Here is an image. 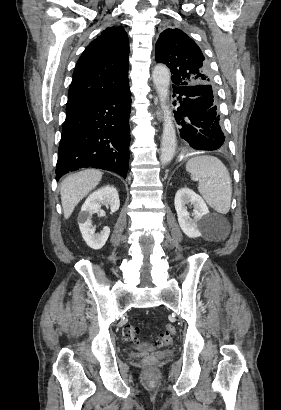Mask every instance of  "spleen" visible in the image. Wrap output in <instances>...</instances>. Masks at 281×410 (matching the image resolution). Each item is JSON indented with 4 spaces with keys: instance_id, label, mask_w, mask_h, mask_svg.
I'll use <instances>...</instances> for the list:
<instances>
[{
    "instance_id": "spleen-1",
    "label": "spleen",
    "mask_w": 281,
    "mask_h": 410,
    "mask_svg": "<svg viewBox=\"0 0 281 410\" xmlns=\"http://www.w3.org/2000/svg\"><path fill=\"white\" fill-rule=\"evenodd\" d=\"M186 171L198 181V191L207 204L221 214L231 205L232 184L229 172L217 157L202 155L188 160Z\"/></svg>"
}]
</instances>
